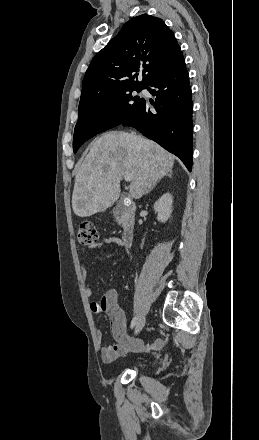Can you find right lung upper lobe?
<instances>
[{"instance_id": "obj_1", "label": "right lung upper lobe", "mask_w": 259, "mask_h": 440, "mask_svg": "<svg viewBox=\"0 0 259 440\" xmlns=\"http://www.w3.org/2000/svg\"><path fill=\"white\" fill-rule=\"evenodd\" d=\"M182 52L166 24L143 14L129 20L92 59L82 84L79 108L116 92L146 88ZM143 79L138 82V72Z\"/></svg>"}]
</instances>
